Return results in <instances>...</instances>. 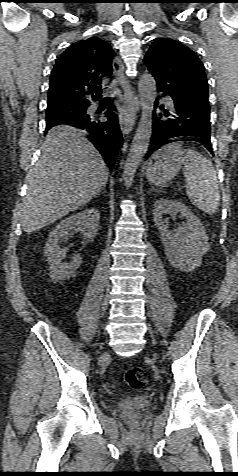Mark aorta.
I'll return each mask as SVG.
<instances>
[{
    "label": "aorta",
    "instance_id": "obj_1",
    "mask_svg": "<svg viewBox=\"0 0 238 476\" xmlns=\"http://www.w3.org/2000/svg\"><path fill=\"white\" fill-rule=\"evenodd\" d=\"M156 89V81L151 74H143L140 77L138 91L142 115L124 166L123 180L127 189L132 185L136 170L148 150Z\"/></svg>",
    "mask_w": 238,
    "mask_h": 476
}]
</instances>
